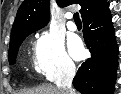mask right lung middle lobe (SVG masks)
Here are the masks:
<instances>
[{"instance_id": "obj_1", "label": "right lung middle lobe", "mask_w": 121, "mask_h": 94, "mask_svg": "<svg viewBox=\"0 0 121 94\" xmlns=\"http://www.w3.org/2000/svg\"><path fill=\"white\" fill-rule=\"evenodd\" d=\"M36 30H27L25 32H22L19 34L16 38L10 41V46H9V53H8V58H9V63L10 65L15 63L16 55L19 49V46L23 42V40L31 33H33Z\"/></svg>"}]
</instances>
